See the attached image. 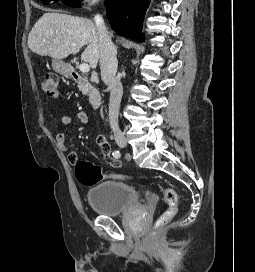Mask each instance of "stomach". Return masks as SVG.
Here are the masks:
<instances>
[{"mask_svg":"<svg viewBox=\"0 0 255 272\" xmlns=\"http://www.w3.org/2000/svg\"><path fill=\"white\" fill-rule=\"evenodd\" d=\"M52 68L56 73L64 75L66 77L71 75V67L69 64L63 62L62 60H53Z\"/></svg>","mask_w":255,"mask_h":272,"instance_id":"obj_1","label":"stomach"}]
</instances>
